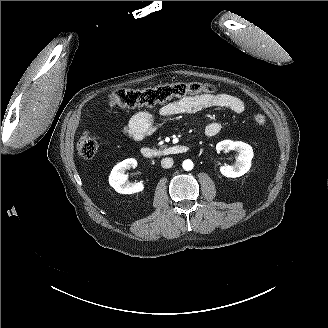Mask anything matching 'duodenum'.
Instances as JSON below:
<instances>
[{
    "label": "duodenum",
    "instance_id": "410a0bca",
    "mask_svg": "<svg viewBox=\"0 0 328 328\" xmlns=\"http://www.w3.org/2000/svg\"><path fill=\"white\" fill-rule=\"evenodd\" d=\"M188 150V147L185 145H171L164 148L142 147L140 152L143 157L154 159L164 156L184 154Z\"/></svg>",
    "mask_w": 328,
    "mask_h": 328
}]
</instances>
